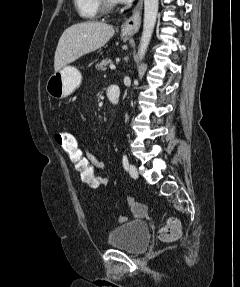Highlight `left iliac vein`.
<instances>
[{
	"label": "left iliac vein",
	"instance_id": "1",
	"mask_svg": "<svg viewBox=\"0 0 240 287\" xmlns=\"http://www.w3.org/2000/svg\"><path fill=\"white\" fill-rule=\"evenodd\" d=\"M129 173L133 178H137L138 177V171L135 165L130 164L129 166Z\"/></svg>",
	"mask_w": 240,
	"mask_h": 287
}]
</instances>
